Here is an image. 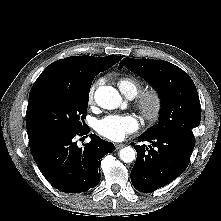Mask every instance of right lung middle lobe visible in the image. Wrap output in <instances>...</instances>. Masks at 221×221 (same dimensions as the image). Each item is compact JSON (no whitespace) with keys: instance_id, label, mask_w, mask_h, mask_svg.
Listing matches in <instances>:
<instances>
[{"instance_id":"dd1d6c3e","label":"right lung middle lobe","mask_w":221,"mask_h":221,"mask_svg":"<svg viewBox=\"0 0 221 221\" xmlns=\"http://www.w3.org/2000/svg\"><path fill=\"white\" fill-rule=\"evenodd\" d=\"M92 81L74 88L52 83L33 86L26 112L29 143L54 136L68 135L87 128L89 90Z\"/></svg>"}]
</instances>
